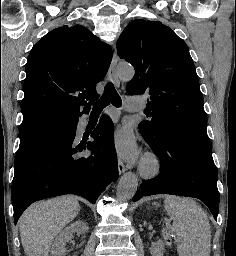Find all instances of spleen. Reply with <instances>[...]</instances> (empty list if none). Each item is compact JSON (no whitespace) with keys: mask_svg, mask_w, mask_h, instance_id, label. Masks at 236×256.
I'll return each mask as SVG.
<instances>
[{"mask_svg":"<svg viewBox=\"0 0 236 256\" xmlns=\"http://www.w3.org/2000/svg\"><path fill=\"white\" fill-rule=\"evenodd\" d=\"M164 208L173 218L178 256H210L211 228L203 208L176 196H166Z\"/></svg>","mask_w":236,"mask_h":256,"instance_id":"spleen-1","label":"spleen"}]
</instances>
